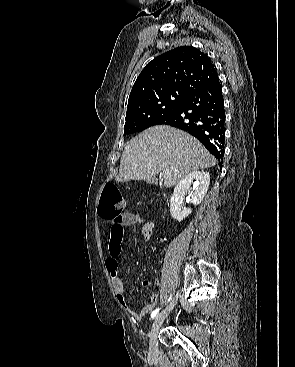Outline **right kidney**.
I'll return each mask as SVG.
<instances>
[{"mask_svg":"<svg viewBox=\"0 0 295 367\" xmlns=\"http://www.w3.org/2000/svg\"><path fill=\"white\" fill-rule=\"evenodd\" d=\"M194 183L195 189L191 192V202L198 205L204 199L210 184V174L205 171H194L182 179L174 189L170 199V213L177 221L184 220L192 212L183 204L184 196L191 190V184Z\"/></svg>","mask_w":295,"mask_h":367,"instance_id":"ca27d5eb","label":"right kidney"}]
</instances>
